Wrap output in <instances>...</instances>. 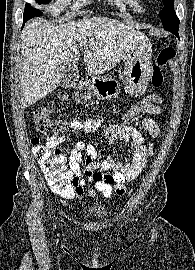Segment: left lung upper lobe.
I'll list each match as a JSON object with an SVG mask.
<instances>
[{
  "label": "left lung upper lobe",
  "mask_w": 195,
  "mask_h": 270,
  "mask_svg": "<svg viewBox=\"0 0 195 270\" xmlns=\"http://www.w3.org/2000/svg\"><path fill=\"white\" fill-rule=\"evenodd\" d=\"M164 9L160 12L163 27L172 33H178L179 19L174 11V0H163Z\"/></svg>",
  "instance_id": "1"
}]
</instances>
